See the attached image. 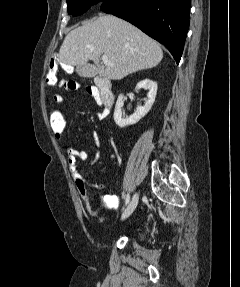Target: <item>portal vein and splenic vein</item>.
Here are the masks:
<instances>
[{
    "label": "portal vein and splenic vein",
    "instance_id": "18ae733b",
    "mask_svg": "<svg viewBox=\"0 0 240 287\" xmlns=\"http://www.w3.org/2000/svg\"><path fill=\"white\" fill-rule=\"evenodd\" d=\"M102 61L104 62V63H109V58H108V56L107 55H102Z\"/></svg>",
    "mask_w": 240,
    "mask_h": 287
}]
</instances>
